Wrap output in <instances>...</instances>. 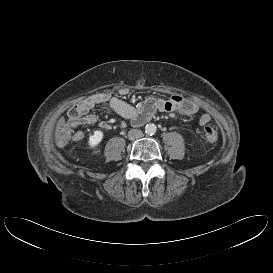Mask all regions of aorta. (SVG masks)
<instances>
[{
  "instance_id": "1",
  "label": "aorta",
  "mask_w": 273,
  "mask_h": 273,
  "mask_svg": "<svg viewBox=\"0 0 273 273\" xmlns=\"http://www.w3.org/2000/svg\"><path fill=\"white\" fill-rule=\"evenodd\" d=\"M156 130H157V127H156V125L153 124V123H149V124H147V125L145 126V132H146V134H148V135H154L155 132H156Z\"/></svg>"
}]
</instances>
